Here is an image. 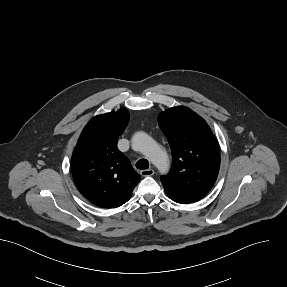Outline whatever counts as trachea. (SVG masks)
Masks as SVG:
<instances>
[{
    "instance_id": "obj_1",
    "label": "trachea",
    "mask_w": 287,
    "mask_h": 287,
    "mask_svg": "<svg viewBox=\"0 0 287 287\" xmlns=\"http://www.w3.org/2000/svg\"><path fill=\"white\" fill-rule=\"evenodd\" d=\"M136 167L141 170H146L149 168V162L146 159H140L136 163Z\"/></svg>"
}]
</instances>
